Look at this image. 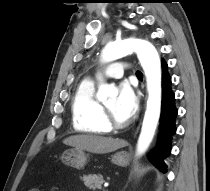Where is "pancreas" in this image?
I'll list each match as a JSON object with an SVG mask.
<instances>
[{
	"instance_id": "obj_1",
	"label": "pancreas",
	"mask_w": 210,
	"mask_h": 191,
	"mask_svg": "<svg viewBox=\"0 0 210 191\" xmlns=\"http://www.w3.org/2000/svg\"><path fill=\"white\" fill-rule=\"evenodd\" d=\"M84 185L92 190L102 188V184L105 182L101 175H84L82 178Z\"/></svg>"
}]
</instances>
